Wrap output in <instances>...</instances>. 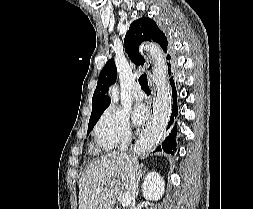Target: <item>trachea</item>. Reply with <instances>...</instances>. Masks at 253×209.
Masks as SVG:
<instances>
[{
    "label": "trachea",
    "instance_id": "1",
    "mask_svg": "<svg viewBox=\"0 0 253 209\" xmlns=\"http://www.w3.org/2000/svg\"><path fill=\"white\" fill-rule=\"evenodd\" d=\"M139 84L141 85L143 90H149L148 79L146 74H142L139 77Z\"/></svg>",
    "mask_w": 253,
    "mask_h": 209
}]
</instances>
